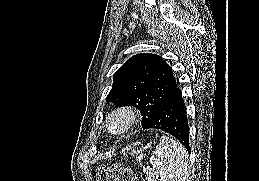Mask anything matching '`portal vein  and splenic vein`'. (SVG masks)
Wrapping results in <instances>:
<instances>
[{
	"label": "portal vein and splenic vein",
	"mask_w": 259,
	"mask_h": 181,
	"mask_svg": "<svg viewBox=\"0 0 259 181\" xmlns=\"http://www.w3.org/2000/svg\"><path fill=\"white\" fill-rule=\"evenodd\" d=\"M143 170H144V171H147V170H148V168H144Z\"/></svg>",
	"instance_id": "18ae733b"
}]
</instances>
